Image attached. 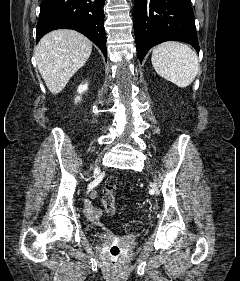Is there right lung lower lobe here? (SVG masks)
Here are the masks:
<instances>
[{"instance_id": "1", "label": "right lung lower lobe", "mask_w": 240, "mask_h": 281, "mask_svg": "<svg viewBox=\"0 0 240 281\" xmlns=\"http://www.w3.org/2000/svg\"><path fill=\"white\" fill-rule=\"evenodd\" d=\"M104 4L105 0H42L37 42L52 30L73 29L94 42L106 58Z\"/></svg>"}]
</instances>
